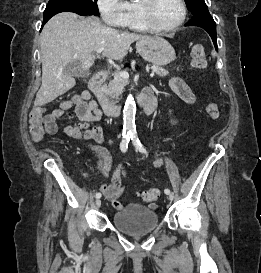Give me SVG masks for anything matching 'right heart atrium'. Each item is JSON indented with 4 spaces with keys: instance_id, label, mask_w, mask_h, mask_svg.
<instances>
[{
    "instance_id": "1",
    "label": "right heart atrium",
    "mask_w": 261,
    "mask_h": 273,
    "mask_svg": "<svg viewBox=\"0 0 261 273\" xmlns=\"http://www.w3.org/2000/svg\"><path fill=\"white\" fill-rule=\"evenodd\" d=\"M103 21L110 26L121 27L125 17L124 0H97Z\"/></svg>"
}]
</instances>
